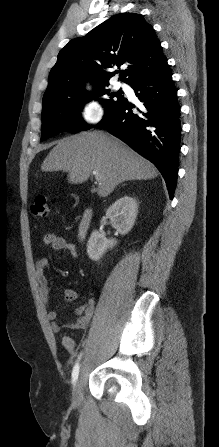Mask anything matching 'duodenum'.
Instances as JSON below:
<instances>
[{
    "label": "duodenum",
    "instance_id": "obj_1",
    "mask_svg": "<svg viewBox=\"0 0 219 447\" xmlns=\"http://www.w3.org/2000/svg\"><path fill=\"white\" fill-rule=\"evenodd\" d=\"M92 219H93V211L91 209L86 210L78 226V237L80 239H83L88 233L92 223Z\"/></svg>",
    "mask_w": 219,
    "mask_h": 447
}]
</instances>
